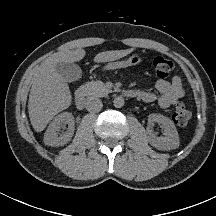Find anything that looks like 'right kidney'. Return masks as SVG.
<instances>
[{
	"instance_id": "right-kidney-1",
	"label": "right kidney",
	"mask_w": 216,
	"mask_h": 216,
	"mask_svg": "<svg viewBox=\"0 0 216 216\" xmlns=\"http://www.w3.org/2000/svg\"><path fill=\"white\" fill-rule=\"evenodd\" d=\"M65 123L68 124V132L58 135L60 126ZM74 130V117L69 112H63L57 115L53 121L49 124L48 129L44 135V143L49 146H62L68 143L72 137Z\"/></svg>"
}]
</instances>
